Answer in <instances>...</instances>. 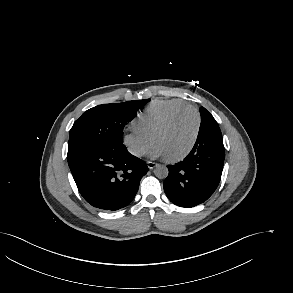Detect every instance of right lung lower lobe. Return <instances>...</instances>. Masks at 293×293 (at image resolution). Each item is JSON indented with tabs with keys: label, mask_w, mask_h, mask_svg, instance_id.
<instances>
[{
	"label": "right lung lower lobe",
	"mask_w": 293,
	"mask_h": 293,
	"mask_svg": "<svg viewBox=\"0 0 293 293\" xmlns=\"http://www.w3.org/2000/svg\"><path fill=\"white\" fill-rule=\"evenodd\" d=\"M68 164L83 198L108 211L126 207L148 172L145 162L130 154L123 144L95 148Z\"/></svg>",
	"instance_id": "right-lung-lower-lobe-1"
}]
</instances>
